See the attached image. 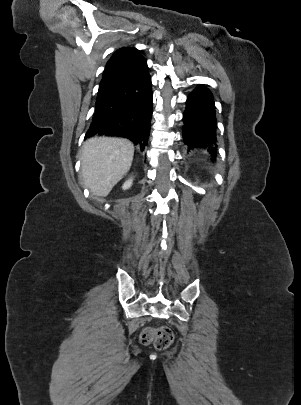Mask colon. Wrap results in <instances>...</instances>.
Returning a JSON list of instances; mask_svg holds the SVG:
<instances>
[{
	"instance_id": "1",
	"label": "colon",
	"mask_w": 301,
	"mask_h": 405,
	"mask_svg": "<svg viewBox=\"0 0 301 405\" xmlns=\"http://www.w3.org/2000/svg\"><path fill=\"white\" fill-rule=\"evenodd\" d=\"M143 345L153 346L158 350H164L170 347L174 341V334L169 327L162 326L158 328H146L140 336Z\"/></svg>"
}]
</instances>
